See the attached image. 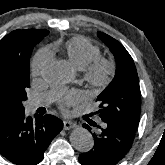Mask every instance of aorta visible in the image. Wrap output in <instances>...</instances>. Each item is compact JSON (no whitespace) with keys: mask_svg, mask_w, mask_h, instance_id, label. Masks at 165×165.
Segmentation results:
<instances>
[{"mask_svg":"<svg viewBox=\"0 0 165 165\" xmlns=\"http://www.w3.org/2000/svg\"><path fill=\"white\" fill-rule=\"evenodd\" d=\"M42 75L50 83L61 84L65 81L66 77L65 65L61 61H50L43 67ZM70 142L80 152H87L94 145L91 133L82 127H76L71 131Z\"/></svg>","mask_w":165,"mask_h":165,"instance_id":"762f6f07","label":"aorta"}]
</instances>
